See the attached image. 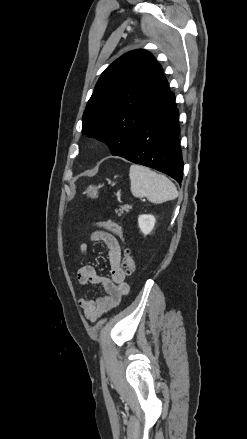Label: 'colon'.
<instances>
[{
  "instance_id": "colon-1",
  "label": "colon",
  "mask_w": 247,
  "mask_h": 439,
  "mask_svg": "<svg viewBox=\"0 0 247 439\" xmlns=\"http://www.w3.org/2000/svg\"><path fill=\"white\" fill-rule=\"evenodd\" d=\"M96 225L115 233L119 238L124 240V232L120 225L111 221L97 222ZM123 254V267L125 269L126 276H131L135 271V261L132 255V251L129 247L126 246L123 250Z\"/></svg>"
}]
</instances>
